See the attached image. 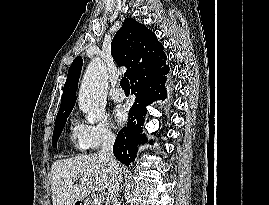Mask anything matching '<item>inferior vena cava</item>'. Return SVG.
Instances as JSON below:
<instances>
[{
  "label": "inferior vena cava",
  "instance_id": "602c4592",
  "mask_svg": "<svg viewBox=\"0 0 269 205\" xmlns=\"http://www.w3.org/2000/svg\"><path fill=\"white\" fill-rule=\"evenodd\" d=\"M115 142V135L111 131H106L102 137V147L99 151V157L104 159L112 173V180L108 187V200H115V195L120 190V184L123 181L122 170L114 158L113 145ZM115 205V204H114Z\"/></svg>",
  "mask_w": 269,
  "mask_h": 205
}]
</instances>
